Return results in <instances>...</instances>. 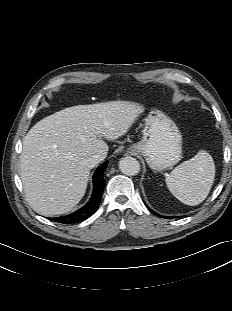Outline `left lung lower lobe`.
<instances>
[{
    "instance_id": "left-lung-lower-lobe-1",
    "label": "left lung lower lobe",
    "mask_w": 232,
    "mask_h": 311,
    "mask_svg": "<svg viewBox=\"0 0 232 311\" xmlns=\"http://www.w3.org/2000/svg\"><path fill=\"white\" fill-rule=\"evenodd\" d=\"M149 208V207H148ZM149 210H151L150 208H149ZM152 211V210H151ZM155 215H157V216H160V215H158L157 213H155L154 211H152Z\"/></svg>"
}]
</instances>
